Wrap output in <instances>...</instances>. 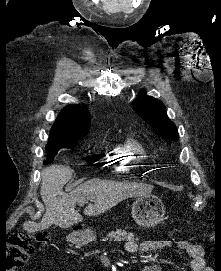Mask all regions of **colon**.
I'll list each match as a JSON object with an SVG mask.
<instances>
[{
	"label": "colon",
	"instance_id": "1",
	"mask_svg": "<svg viewBox=\"0 0 221 271\" xmlns=\"http://www.w3.org/2000/svg\"><path fill=\"white\" fill-rule=\"evenodd\" d=\"M35 235L38 242L48 241L53 236L51 231L45 230L37 231ZM35 249L34 239L29 230H20L12 234L8 241V252L5 257L8 271H18Z\"/></svg>",
	"mask_w": 221,
	"mask_h": 271
}]
</instances>
